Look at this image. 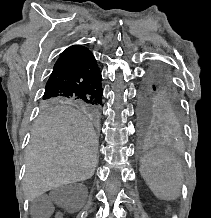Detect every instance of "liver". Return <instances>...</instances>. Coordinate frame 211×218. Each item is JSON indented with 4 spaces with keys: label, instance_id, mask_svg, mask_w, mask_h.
Instances as JSON below:
<instances>
[{
    "label": "liver",
    "instance_id": "obj_1",
    "mask_svg": "<svg viewBox=\"0 0 211 218\" xmlns=\"http://www.w3.org/2000/svg\"><path fill=\"white\" fill-rule=\"evenodd\" d=\"M97 138L87 118L71 108L45 110L26 152L24 192L29 200L52 188L89 180L97 166Z\"/></svg>",
    "mask_w": 211,
    "mask_h": 218
}]
</instances>
